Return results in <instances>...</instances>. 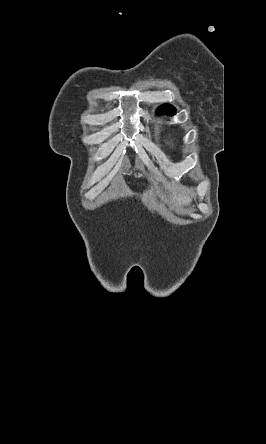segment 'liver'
Here are the masks:
<instances>
[{"mask_svg":"<svg viewBox=\"0 0 266 444\" xmlns=\"http://www.w3.org/2000/svg\"><path fill=\"white\" fill-rule=\"evenodd\" d=\"M170 201L173 203H176L178 205H186L189 201V198H187L184 195H176L175 192L172 193L171 197H170Z\"/></svg>","mask_w":266,"mask_h":444,"instance_id":"obj_1","label":"liver"}]
</instances>
